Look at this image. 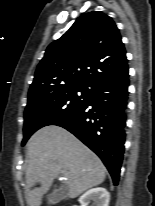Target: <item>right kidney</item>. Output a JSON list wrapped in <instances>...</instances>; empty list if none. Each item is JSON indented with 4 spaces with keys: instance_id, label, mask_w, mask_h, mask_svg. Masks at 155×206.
Here are the masks:
<instances>
[{
    "instance_id": "obj_1",
    "label": "right kidney",
    "mask_w": 155,
    "mask_h": 206,
    "mask_svg": "<svg viewBox=\"0 0 155 206\" xmlns=\"http://www.w3.org/2000/svg\"><path fill=\"white\" fill-rule=\"evenodd\" d=\"M90 200L94 201L95 206H108L110 193L103 187H97L88 190L79 198L81 206H87Z\"/></svg>"
}]
</instances>
